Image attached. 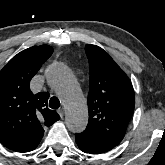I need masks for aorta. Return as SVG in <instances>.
I'll use <instances>...</instances> for the list:
<instances>
[{
	"label": "aorta",
	"instance_id": "aorta-1",
	"mask_svg": "<svg viewBox=\"0 0 165 165\" xmlns=\"http://www.w3.org/2000/svg\"><path fill=\"white\" fill-rule=\"evenodd\" d=\"M46 78L62 98L68 129L74 133L82 132L88 123V108L73 77L64 65L54 64L48 68Z\"/></svg>",
	"mask_w": 165,
	"mask_h": 165
}]
</instances>
